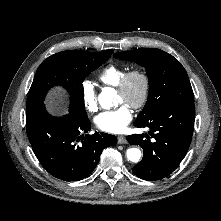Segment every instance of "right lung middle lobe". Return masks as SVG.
<instances>
[{
	"label": "right lung middle lobe",
	"instance_id": "1",
	"mask_svg": "<svg viewBox=\"0 0 221 221\" xmlns=\"http://www.w3.org/2000/svg\"><path fill=\"white\" fill-rule=\"evenodd\" d=\"M112 53L113 50H106L100 53L68 50L51 55L41 63L36 71L29 91L27 108L34 105H44L43 100L47 92L54 86H60L69 94V110L85 115L82 83Z\"/></svg>",
	"mask_w": 221,
	"mask_h": 221
}]
</instances>
